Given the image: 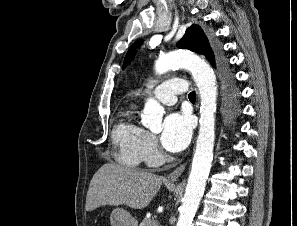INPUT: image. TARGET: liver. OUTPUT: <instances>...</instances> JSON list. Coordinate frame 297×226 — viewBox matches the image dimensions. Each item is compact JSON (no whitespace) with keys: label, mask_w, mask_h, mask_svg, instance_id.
Segmentation results:
<instances>
[{"label":"liver","mask_w":297,"mask_h":226,"mask_svg":"<svg viewBox=\"0 0 297 226\" xmlns=\"http://www.w3.org/2000/svg\"><path fill=\"white\" fill-rule=\"evenodd\" d=\"M162 180L148 171L106 163L90 182L85 210L93 211L105 205L143 209L160 189Z\"/></svg>","instance_id":"liver-1"}]
</instances>
